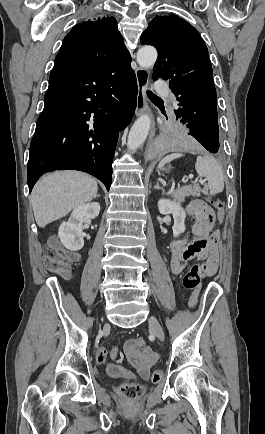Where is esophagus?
<instances>
[{"label":"esophagus","mask_w":265,"mask_h":434,"mask_svg":"<svg viewBox=\"0 0 265 434\" xmlns=\"http://www.w3.org/2000/svg\"><path fill=\"white\" fill-rule=\"evenodd\" d=\"M136 80H137V105L135 109L136 116H140L145 112H148L151 118V127H150V134L148 138L147 145L151 143L155 136L156 132V126H155V120L153 118V115L150 112L147 100H146V92L148 89L149 84V72L148 70H145L144 68H136L135 70Z\"/></svg>","instance_id":"34e87169"}]
</instances>
